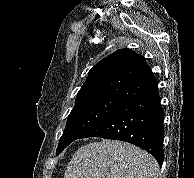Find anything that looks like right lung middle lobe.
Wrapping results in <instances>:
<instances>
[{
  "mask_svg": "<svg viewBox=\"0 0 194 178\" xmlns=\"http://www.w3.org/2000/svg\"><path fill=\"white\" fill-rule=\"evenodd\" d=\"M124 102L114 99L92 98L78 100L68 116L65 130L56 151L58 155L70 143L105 118Z\"/></svg>",
  "mask_w": 194,
  "mask_h": 178,
  "instance_id": "1",
  "label": "right lung middle lobe"
}]
</instances>
